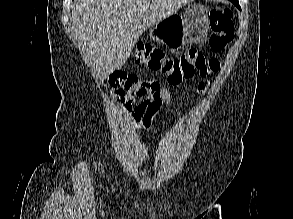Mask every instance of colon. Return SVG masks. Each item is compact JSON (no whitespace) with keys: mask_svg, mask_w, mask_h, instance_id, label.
I'll return each instance as SVG.
<instances>
[{"mask_svg":"<svg viewBox=\"0 0 293 219\" xmlns=\"http://www.w3.org/2000/svg\"><path fill=\"white\" fill-rule=\"evenodd\" d=\"M210 47L216 52L223 51L234 38L233 12L223 6H215L209 12ZM134 60L150 69L167 75L172 86H178L196 75L206 76L219 70L216 59H206L205 55L191 48L176 57H169L164 50L150 44H142L134 52ZM141 82L134 74L114 71L109 77V87L114 98L124 101L128 94L136 91Z\"/></svg>","mask_w":293,"mask_h":219,"instance_id":"obj_1","label":"colon"}]
</instances>
